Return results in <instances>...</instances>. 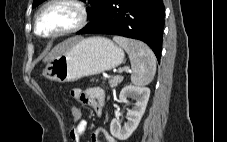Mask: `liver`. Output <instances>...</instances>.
<instances>
[{
  "label": "liver",
  "mask_w": 227,
  "mask_h": 142,
  "mask_svg": "<svg viewBox=\"0 0 227 142\" xmlns=\"http://www.w3.org/2000/svg\"><path fill=\"white\" fill-rule=\"evenodd\" d=\"M81 40L80 37H73V38H69L65 41H63L62 43L58 44L57 46H55L51 52L44 58V62H49L52 61L54 58H56L58 55L62 54L63 52H65L73 43L77 42Z\"/></svg>",
  "instance_id": "liver-1"
}]
</instances>
